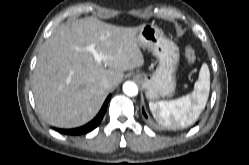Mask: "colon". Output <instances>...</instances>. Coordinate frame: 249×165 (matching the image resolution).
I'll list each match as a JSON object with an SVG mask.
<instances>
[{"label":"colon","instance_id":"1","mask_svg":"<svg viewBox=\"0 0 249 165\" xmlns=\"http://www.w3.org/2000/svg\"><path fill=\"white\" fill-rule=\"evenodd\" d=\"M186 58L189 63H193L196 60L195 51L192 46L186 47Z\"/></svg>","mask_w":249,"mask_h":165}]
</instances>
